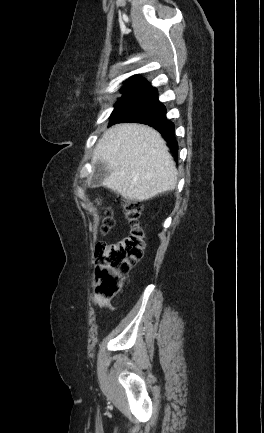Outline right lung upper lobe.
<instances>
[{
  "instance_id": "1",
  "label": "right lung upper lobe",
  "mask_w": 264,
  "mask_h": 433,
  "mask_svg": "<svg viewBox=\"0 0 264 433\" xmlns=\"http://www.w3.org/2000/svg\"><path fill=\"white\" fill-rule=\"evenodd\" d=\"M147 84V81L139 75H134L126 81L125 86L121 88V92L127 94L132 91L142 89ZM176 156V155H175Z\"/></svg>"
}]
</instances>
